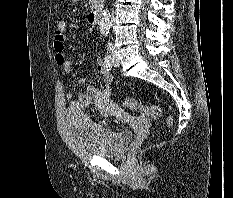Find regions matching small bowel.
Returning a JSON list of instances; mask_svg holds the SVG:
<instances>
[{"label": "small bowel", "mask_w": 233, "mask_h": 198, "mask_svg": "<svg viewBox=\"0 0 233 198\" xmlns=\"http://www.w3.org/2000/svg\"><path fill=\"white\" fill-rule=\"evenodd\" d=\"M65 31L61 36L55 34L54 36V60L55 63L61 67L66 73H71L73 70L72 62L69 57L65 54V33L70 28L77 27L76 24L67 25L65 23ZM96 69L102 76V80L104 83V88L102 90L96 89L93 85L89 83V81L85 77H81L79 79V84L83 86L85 89L83 92L79 93L77 98L74 99V95L71 92H67L65 94L66 100L70 102L69 110L74 112H79L83 109H86L92 105H97L101 109L108 111L114 105L111 99V90L110 84L112 81V77L110 73L104 67V62L101 60H97Z\"/></svg>", "instance_id": "obj_1"}]
</instances>
